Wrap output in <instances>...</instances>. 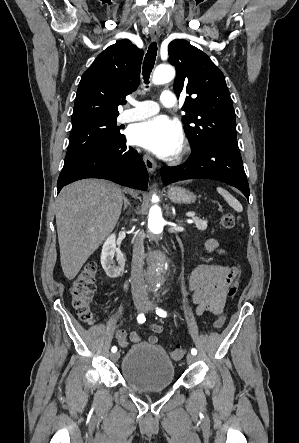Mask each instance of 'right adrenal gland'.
Segmentation results:
<instances>
[{
    "mask_svg": "<svg viewBox=\"0 0 299 443\" xmlns=\"http://www.w3.org/2000/svg\"><path fill=\"white\" fill-rule=\"evenodd\" d=\"M123 200H124V208L123 210L125 211L127 209L128 206H130V202L129 200L125 197V195H123Z\"/></svg>",
    "mask_w": 299,
    "mask_h": 443,
    "instance_id": "obj_1",
    "label": "right adrenal gland"
}]
</instances>
